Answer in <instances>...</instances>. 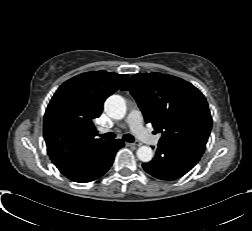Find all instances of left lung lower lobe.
Returning <instances> with one entry per match:
<instances>
[{
	"label": "left lung lower lobe",
	"instance_id": "obj_1",
	"mask_svg": "<svg viewBox=\"0 0 252 231\" xmlns=\"http://www.w3.org/2000/svg\"><path fill=\"white\" fill-rule=\"evenodd\" d=\"M205 148V144L195 140L159 141L155 158L144 163L143 168L159 179H177L196 165Z\"/></svg>",
	"mask_w": 252,
	"mask_h": 231
}]
</instances>
